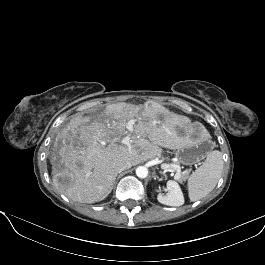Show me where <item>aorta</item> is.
<instances>
[{"label": "aorta", "mask_w": 265, "mask_h": 265, "mask_svg": "<svg viewBox=\"0 0 265 265\" xmlns=\"http://www.w3.org/2000/svg\"><path fill=\"white\" fill-rule=\"evenodd\" d=\"M136 175L139 178H146L148 176V168L145 166H139L136 169Z\"/></svg>", "instance_id": "1"}]
</instances>
